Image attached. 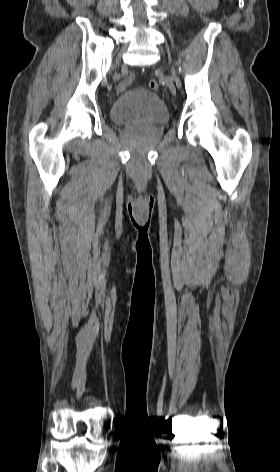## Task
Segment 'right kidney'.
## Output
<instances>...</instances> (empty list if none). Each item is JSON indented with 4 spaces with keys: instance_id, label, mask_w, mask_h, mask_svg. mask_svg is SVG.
<instances>
[{
    "instance_id": "1",
    "label": "right kidney",
    "mask_w": 280,
    "mask_h": 472,
    "mask_svg": "<svg viewBox=\"0 0 280 472\" xmlns=\"http://www.w3.org/2000/svg\"><path fill=\"white\" fill-rule=\"evenodd\" d=\"M94 0H85V2H87L88 4H90L91 2H93Z\"/></svg>"
}]
</instances>
